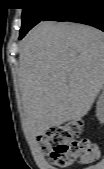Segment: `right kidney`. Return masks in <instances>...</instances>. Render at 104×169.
<instances>
[{
	"mask_svg": "<svg viewBox=\"0 0 104 169\" xmlns=\"http://www.w3.org/2000/svg\"><path fill=\"white\" fill-rule=\"evenodd\" d=\"M96 116L99 121H103L104 119V94H101L98 98L96 105Z\"/></svg>",
	"mask_w": 104,
	"mask_h": 169,
	"instance_id": "1",
	"label": "right kidney"
}]
</instances>
